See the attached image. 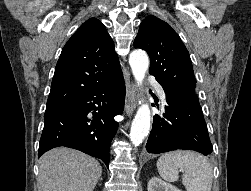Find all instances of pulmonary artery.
<instances>
[{
	"label": "pulmonary artery",
	"instance_id": "pulmonary-artery-1",
	"mask_svg": "<svg viewBox=\"0 0 251 191\" xmlns=\"http://www.w3.org/2000/svg\"><path fill=\"white\" fill-rule=\"evenodd\" d=\"M151 86H154V88L156 89V91L158 92V94L164 98V91L163 88L161 87V85L156 82V81H151Z\"/></svg>",
	"mask_w": 251,
	"mask_h": 191
}]
</instances>
